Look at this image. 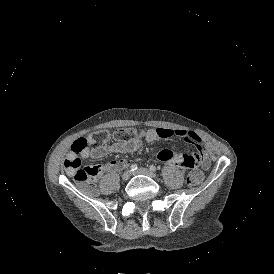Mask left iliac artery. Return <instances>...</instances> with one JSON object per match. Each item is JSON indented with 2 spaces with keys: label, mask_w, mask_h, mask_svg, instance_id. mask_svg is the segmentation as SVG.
I'll return each instance as SVG.
<instances>
[{
  "label": "left iliac artery",
  "mask_w": 274,
  "mask_h": 274,
  "mask_svg": "<svg viewBox=\"0 0 274 274\" xmlns=\"http://www.w3.org/2000/svg\"><path fill=\"white\" fill-rule=\"evenodd\" d=\"M149 169H150L151 171H153V172L157 170V168H156L154 165H150V166H149Z\"/></svg>",
  "instance_id": "1"
}]
</instances>
